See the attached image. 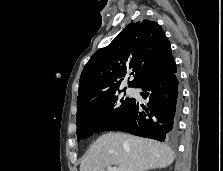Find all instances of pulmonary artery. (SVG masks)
Instances as JSON below:
<instances>
[{
    "label": "pulmonary artery",
    "mask_w": 223,
    "mask_h": 171,
    "mask_svg": "<svg viewBox=\"0 0 223 171\" xmlns=\"http://www.w3.org/2000/svg\"><path fill=\"white\" fill-rule=\"evenodd\" d=\"M132 91H133V90L130 89V88L127 89V92H128V93H132Z\"/></svg>",
    "instance_id": "e3ab8cb5"
}]
</instances>
